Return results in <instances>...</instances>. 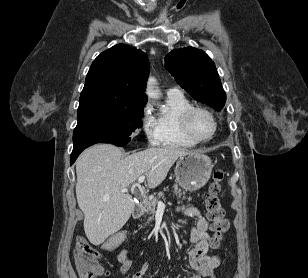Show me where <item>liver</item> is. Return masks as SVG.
<instances>
[{"mask_svg": "<svg viewBox=\"0 0 308 278\" xmlns=\"http://www.w3.org/2000/svg\"><path fill=\"white\" fill-rule=\"evenodd\" d=\"M187 153L178 147L148 148L122 158L120 148L105 143L82 152L76 161V197L88 240L100 245L128 221L134 201L122 189L144 174L148 187H157L175 161Z\"/></svg>", "mask_w": 308, "mask_h": 278, "instance_id": "obj_1", "label": "liver"}]
</instances>
